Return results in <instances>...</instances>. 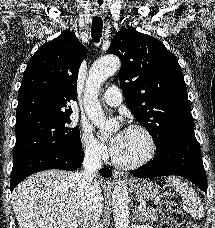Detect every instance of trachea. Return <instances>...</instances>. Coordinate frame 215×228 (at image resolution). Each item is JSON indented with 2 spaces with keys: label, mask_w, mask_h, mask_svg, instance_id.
<instances>
[{
  "label": "trachea",
  "mask_w": 215,
  "mask_h": 228,
  "mask_svg": "<svg viewBox=\"0 0 215 228\" xmlns=\"http://www.w3.org/2000/svg\"><path fill=\"white\" fill-rule=\"evenodd\" d=\"M103 21L100 17H94L92 21L91 36L98 43L102 36Z\"/></svg>",
  "instance_id": "trachea-1"
}]
</instances>
